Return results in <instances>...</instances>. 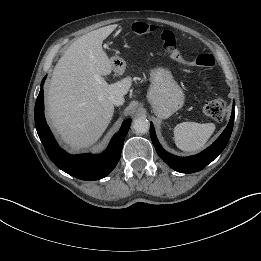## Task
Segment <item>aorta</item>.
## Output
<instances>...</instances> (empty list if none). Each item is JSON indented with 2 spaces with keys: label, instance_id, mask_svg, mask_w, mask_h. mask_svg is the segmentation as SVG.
Wrapping results in <instances>:
<instances>
[{
  "label": "aorta",
  "instance_id": "aorta-1",
  "mask_svg": "<svg viewBox=\"0 0 261 261\" xmlns=\"http://www.w3.org/2000/svg\"><path fill=\"white\" fill-rule=\"evenodd\" d=\"M132 127L136 133L143 134L148 132L149 122L145 118H137L133 121Z\"/></svg>",
  "mask_w": 261,
  "mask_h": 261
}]
</instances>
